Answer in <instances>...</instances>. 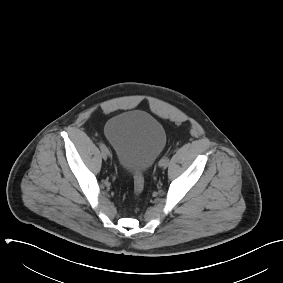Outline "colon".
Instances as JSON below:
<instances>
[{
	"instance_id": "obj_1",
	"label": "colon",
	"mask_w": 283,
	"mask_h": 283,
	"mask_svg": "<svg viewBox=\"0 0 283 283\" xmlns=\"http://www.w3.org/2000/svg\"><path fill=\"white\" fill-rule=\"evenodd\" d=\"M144 189V177L141 172L134 173V194L139 196Z\"/></svg>"
}]
</instances>
